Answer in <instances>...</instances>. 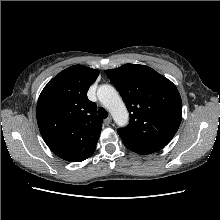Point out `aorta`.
<instances>
[{"label": "aorta", "instance_id": "obj_1", "mask_svg": "<svg viewBox=\"0 0 220 220\" xmlns=\"http://www.w3.org/2000/svg\"><path fill=\"white\" fill-rule=\"evenodd\" d=\"M97 97L109 110L118 126H125L128 123L129 114L126 106L113 86L101 85L97 90Z\"/></svg>", "mask_w": 220, "mask_h": 220}]
</instances>
